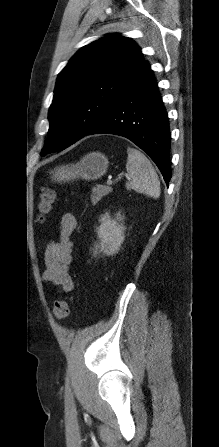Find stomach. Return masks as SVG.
<instances>
[{"instance_id": "1", "label": "stomach", "mask_w": 219, "mask_h": 447, "mask_svg": "<svg viewBox=\"0 0 219 447\" xmlns=\"http://www.w3.org/2000/svg\"><path fill=\"white\" fill-rule=\"evenodd\" d=\"M107 157L100 152L85 155L79 162L56 167L51 178L56 182H68L74 179L96 180L102 177L108 168Z\"/></svg>"}]
</instances>
